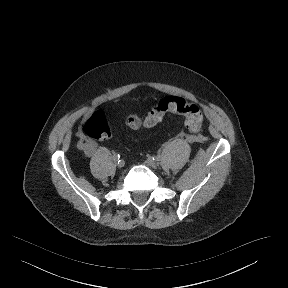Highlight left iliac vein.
Instances as JSON below:
<instances>
[{
  "label": "left iliac vein",
  "instance_id": "obj_1",
  "mask_svg": "<svg viewBox=\"0 0 288 288\" xmlns=\"http://www.w3.org/2000/svg\"><path fill=\"white\" fill-rule=\"evenodd\" d=\"M144 164H145L147 167L152 168V169H154V168L157 167L156 161H154L152 158H148V159L144 162Z\"/></svg>",
  "mask_w": 288,
  "mask_h": 288
}]
</instances>
